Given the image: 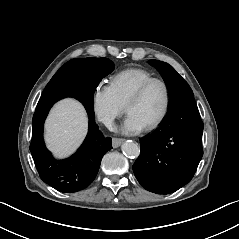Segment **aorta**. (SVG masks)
<instances>
[{"instance_id": "obj_1", "label": "aorta", "mask_w": 239, "mask_h": 239, "mask_svg": "<svg viewBox=\"0 0 239 239\" xmlns=\"http://www.w3.org/2000/svg\"><path fill=\"white\" fill-rule=\"evenodd\" d=\"M122 151L127 156L138 157L140 154V146L133 141H125L122 145Z\"/></svg>"}]
</instances>
